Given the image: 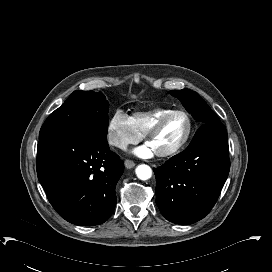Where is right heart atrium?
I'll return each mask as SVG.
<instances>
[{
    "instance_id": "right-heart-atrium-1",
    "label": "right heart atrium",
    "mask_w": 272,
    "mask_h": 272,
    "mask_svg": "<svg viewBox=\"0 0 272 272\" xmlns=\"http://www.w3.org/2000/svg\"><path fill=\"white\" fill-rule=\"evenodd\" d=\"M107 137L110 145L123 148L137 142L141 138V133L133 119L118 110L107 122Z\"/></svg>"
}]
</instances>
